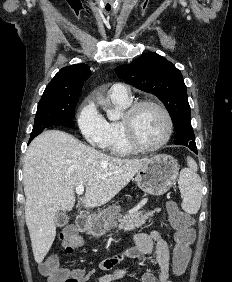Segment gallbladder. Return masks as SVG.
Here are the masks:
<instances>
[{"label": "gallbladder", "instance_id": "gallbladder-1", "mask_svg": "<svg viewBox=\"0 0 232 282\" xmlns=\"http://www.w3.org/2000/svg\"><path fill=\"white\" fill-rule=\"evenodd\" d=\"M69 221L68 215L64 211H59L56 214V224L59 227L65 226Z\"/></svg>", "mask_w": 232, "mask_h": 282}]
</instances>
